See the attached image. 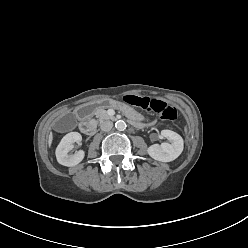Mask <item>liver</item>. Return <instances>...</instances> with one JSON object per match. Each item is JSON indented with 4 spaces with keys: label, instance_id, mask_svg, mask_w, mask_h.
I'll use <instances>...</instances> for the list:
<instances>
[{
    "label": "liver",
    "instance_id": "liver-1",
    "mask_svg": "<svg viewBox=\"0 0 248 248\" xmlns=\"http://www.w3.org/2000/svg\"><path fill=\"white\" fill-rule=\"evenodd\" d=\"M52 139H53V135H52V133H50V135H49V144L51 145V143H52Z\"/></svg>",
    "mask_w": 248,
    "mask_h": 248
}]
</instances>
